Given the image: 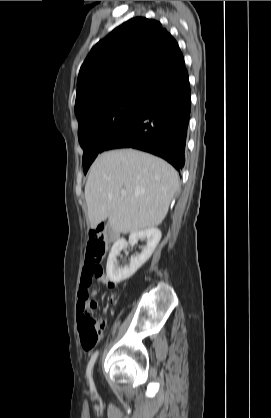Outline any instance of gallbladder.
Masks as SVG:
<instances>
[{"label":"gallbladder","instance_id":"1","mask_svg":"<svg viewBox=\"0 0 271 418\" xmlns=\"http://www.w3.org/2000/svg\"><path fill=\"white\" fill-rule=\"evenodd\" d=\"M107 233H108V235H109V234H114V235H117V233H114V232L112 231V229H111V227H110V226L108 227Z\"/></svg>","mask_w":271,"mask_h":418}]
</instances>
